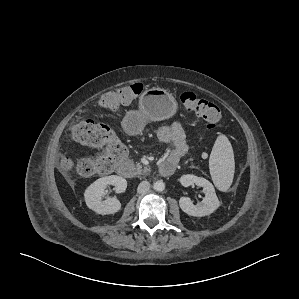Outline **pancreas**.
<instances>
[{"label": "pancreas", "mask_w": 299, "mask_h": 299, "mask_svg": "<svg viewBox=\"0 0 299 299\" xmlns=\"http://www.w3.org/2000/svg\"><path fill=\"white\" fill-rule=\"evenodd\" d=\"M136 169H137V174H142V172L147 173L150 171V168H148V167H144V169H143V167L140 163L136 164Z\"/></svg>", "instance_id": "1"}]
</instances>
